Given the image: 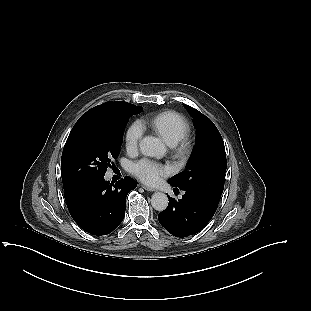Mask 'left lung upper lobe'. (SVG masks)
Instances as JSON below:
<instances>
[{
	"label": "left lung upper lobe",
	"mask_w": 311,
	"mask_h": 311,
	"mask_svg": "<svg viewBox=\"0 0 311 311\" xmlns=\"http://www.w3.org/2000/svg\"><path fill=\"white\" fill-rule=\"evenodd\" d=\"M184 106L194 119L198 141L187 169L171 177L168 183L219 203L227 166L223 139L208 117L189 105Z\"/></svg>",
	"instance_id": "1"
}]
</instances>
